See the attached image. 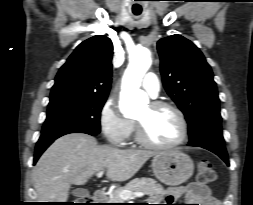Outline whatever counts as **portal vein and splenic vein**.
Here are the masks:
<instances>
[{"label":"portal vein and splenic vein","instance_id":"1","mask_svg":"<svg viewBox=\"0 0 253 205\" xmlns=\"http://www.w3.org/2000/svg\"><path fill=\"white\" fill-rule=\"evenodd\" d=\"M103 174H104V171H100L97 173V177L100 178ZM119 196L122 200H129V199L136 198V197H143L144 193L123 190L120 192Z\"/></svg>","mask_w":253,"mask_h":205}]
</instances>
